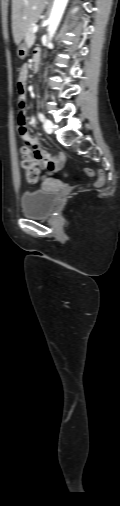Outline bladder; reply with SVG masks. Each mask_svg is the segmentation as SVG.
Here are the masks:
<instances>
[{
    "label": "bladder",
    "mask_w": 120,
    "mask_h": 506,
    "mask_svg": "<svg viewBox=\"0 0 120 506\" xmlns=\"http://www.w3.org/2000/svg\"><path fill=\"white\" fill-rule=\"evenodd\" d=\"M57 193L49 189L24 192L21 196V211L25 217L41 218L51 214Z\"/></svg>",
    "instance_id": "31cf9c89"
}]
</instances>
